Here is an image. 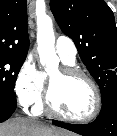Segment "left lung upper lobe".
Segmentation results:
<instances>
[{"mask_svg": "<svg viewBox=\"0 0 117 136\" xmlns=\"http://www.w3.org/2000/svg\"><path fill=\"white\" fill-rule=\"evenodd\" d=\"M50 8L100 87L102 102L117 92V27L104 0H51Z\"/></svg>", "mask_w": 117, "mask_h": 136, "instance_id": "left-lung-upper-lobe-1", "label": "left lung upper lobe"}]
</instances>
